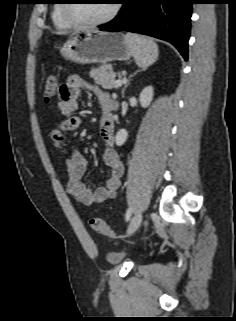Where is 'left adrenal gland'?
Segmentation results:
<instances>
[{"mask_svg": "<svg viewBox=\"0 0 236 321\" xmlns=\"http://www.w3.org/2000/svg\"><path fill=\"white\" fill-rule=\"evenodd\" d=\"M138 72H139V70L136 71V72H134V73L129 77V80L127 81V83L125 84V86L123 87V89H122V91H121L122 97H124L125 90H126V88L128 87V85L130 84V79H131L132 77H134Z\"/></svg>", "mask_w": 236, "mask_h": 321, "instance_id": "a2214340", "label": "left adrenal gland"}]
</instances>
